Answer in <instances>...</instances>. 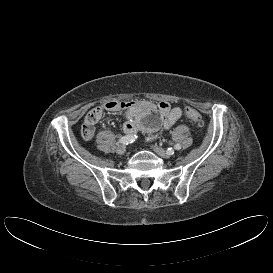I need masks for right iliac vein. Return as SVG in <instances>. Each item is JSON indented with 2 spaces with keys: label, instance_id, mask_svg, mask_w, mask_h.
<instances>
[{
  "label": "right iliac vein",
  "instance_id": "1",
  "mask_svg": "<svg viewBox=\"0 0 273 273\" xmlns=\"http://www.w3.org/2000/svg\"><path fill=\"white\" fill-rule=\"evenodd\" d=\"M125 151H126V147H125L124 145H119V146L116 148L117 154L122 155V154L125 153Z\"/></svg>",
  "mask_w": 273,
  "mask_h": 273
}]
</instances>
